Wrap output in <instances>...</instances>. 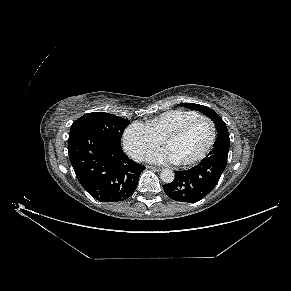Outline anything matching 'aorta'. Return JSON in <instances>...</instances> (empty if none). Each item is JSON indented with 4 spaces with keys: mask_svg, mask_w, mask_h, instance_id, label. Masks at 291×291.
<instances>
[{
    "mask_svg": "<svg viewBox=\"0 0 291 291\" xmlns=\"http://www.w3.org/2000/svg\"><path fill=\"white\" fill-rule=\"evenodd\" d=\"M160 178L165 183H171L174 181L175 174L171 169H163L160 173Z\"/></svg>",
    "mask_w": 291,
    "mask_h": 291,
    "instance_id": "obj_1",
    "label": "aorta"
}]
</instances>
